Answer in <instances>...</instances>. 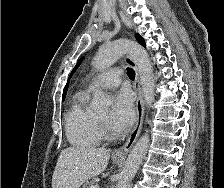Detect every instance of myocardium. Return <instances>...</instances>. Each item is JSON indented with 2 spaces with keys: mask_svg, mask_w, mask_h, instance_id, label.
Here are the masks:
<instances>
[{
  "mask_svg": "<svg viewBox=\"0 0 224 188\" xmlns=\"http://www.w3.org/2000/svg\"><path fill=\"white\" fill-rule=\"evenodd\" d=\"M96 120H97V125H98V129H99L101 136H103L107 139L113 138V133H112L110 127L108 126L107 122L100 120L98 117L96 118Z\"/></svg>",
  "mask_w": 224,
  "mask_h": 188,
  "instance_id": "myocardium-1",
  "label": "myocardium"
}]
</instances>
